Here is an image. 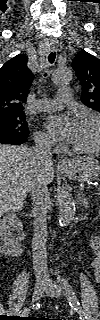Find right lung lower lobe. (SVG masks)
Masks as SVG:
<instances>
[{
  "label": "right lung lower lobe",
  "mask_w": 100,
  "mask_h": 320,
  "mask_svg": "<svg viewBox=\"0 0 100 320\" xmlns=\"http://www.w3.org/2000/svg\"><path fill=\"white\" fill-rule=\"evenodd\" d=\"M27 141V138H17V137H13V138H6L3 140H0V143L2 144H23Z\"/></svg>",
  "instance_id": "obj_1"
}]
</instances>
